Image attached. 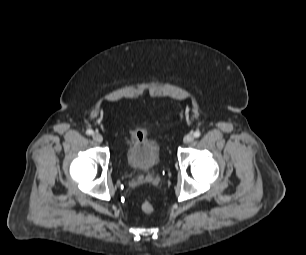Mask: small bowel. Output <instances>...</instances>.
I'll return each instance as SVG.
<instances>
[{"label": "small bowel", "instance_id": "1", "mask_svg": "<svg viewBox=\"0 0 306 255\" xmlns=\"http://www.w3.org/2000/svg\"><path fill=\"white\" fill-rule=\"evenodd\" d=\"M131 137L133 139H137V140L141 141V140L144 139L145 135H144V132L142 130L136 129V130L132 131Z\"/></svg>", "mask_w": 306, "mask_h": 255}]
</instances>
